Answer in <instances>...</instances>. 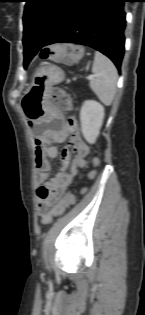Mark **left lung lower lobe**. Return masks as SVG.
Segmentation results:
<instances>
[{"mask_svg":"<svg viewBox=\"0 0 145 315\" xmlns=\"http://www.w3.org/2000/svg\"><path fill=\"white\" fill-rule=\"evenodd\" d=\"M128 0H74L52 35L41 41L36 35L23 36L25 63L44 46L65 42L92 47L121 68L126 26L124 2ZM27 67V66H26Z\"/></svg>","mask_w":145,"mask_h":315,"instance_id":"obj_1","label":"left lung lower lobe"}]
</instances>
